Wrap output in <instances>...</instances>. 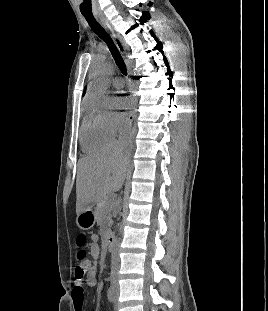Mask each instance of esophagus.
Returning <instances> with one entry per match:
<instances>
[{
  "label": "esophagus",
  "mask_w": 268,
  "mask_h": 311,
  "mask_svg": "<svg viewBox=\"0 0 268 311\" xmlns=\"http://www.w3.org/2000/svg\"><path fill=\"white\" fill-rule=\"evenodd\" d=\"M98 19L100 20V22L102 23V25L108 30V32L110 33L111 37L113 38L117 48L119 49V51L121 53H124L125 51V46L121 40V37L118 35V33L116 32V30L114 29V27L112 26V24L108 21V19L102 15L98 16ZM134 97L138 96L137 92L133 93ZM136 100V99H135ZM135 107H133L130 111H129V115H128V124L129 126H131L134 118H135Z\"/></svg>",
  "instance_id": "34e87169"
}]
</instances>
